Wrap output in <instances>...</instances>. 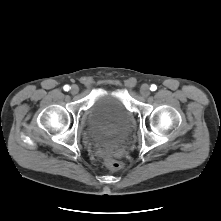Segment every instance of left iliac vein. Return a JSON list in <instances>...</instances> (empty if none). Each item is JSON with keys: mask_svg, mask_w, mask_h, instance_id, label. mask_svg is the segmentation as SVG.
<instances>
[{"mask_svg": "<svg viewBox=\"0 0 221 221\" xmlns=\"http://www.w3.org/2000/svg\"><path fill=\"white\" fill-rule=\"evenodd\" d=\"M140 94L143 96V97H147L149 96L150 94V88L147 84H143L140 88Z\"/></svg>", "mask_w": 221, "mask_h": 221, "instance_id": "left-iliac-vein-1", "label": "left iliac vein"}]
</instances>
